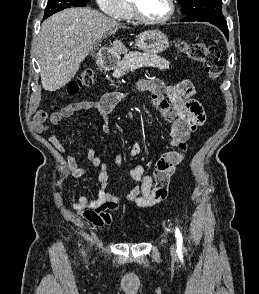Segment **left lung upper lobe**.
<instances>
[{
    "mask_svg": "<svg viewBox=\"0 0 259 294\" xmlns=\"http://www.w3.org/2000/svg\"><path fill=\"white\" fill-rule=\"evenodd\" d=\"M187 21L212 20L224 21L221 0H178Z\"/></svg>",
    "mask_w": 259,
    "mask_h": 294,
    "instance_id": "5c2ea615",
    "label": "left lung upper lobe"
}]
</instances>
